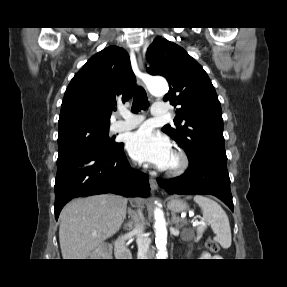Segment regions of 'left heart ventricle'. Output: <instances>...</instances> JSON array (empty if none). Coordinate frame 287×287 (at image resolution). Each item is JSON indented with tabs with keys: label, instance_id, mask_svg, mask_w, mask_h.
Segmentation results:
<instances>
[{
	"label": "left heart ventricle",
	"instance_id": "1",
	"mask_svg": "<svg viewBox=\"0 0 287 287\" xmlns=\"http://www.w3.org/2000/svg\"><path fill=\"white\" fill-rule=\"evenodd\" d=\"M174 163H175V159H174V157L172 155L170 160H169V163H168L167 167L173 165Z\"/></svg>",
	"mask_w": 287,
	"mask_h": 287
}]
</instances>
